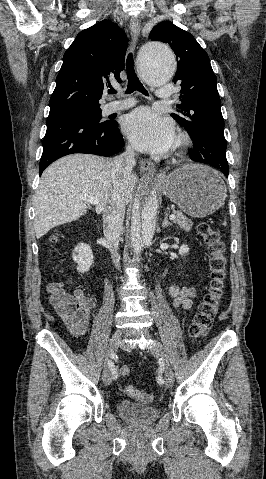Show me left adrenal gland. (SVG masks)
Returning <instances> with one entry per match:
<instances>
[{
  "mask_svg": "<svg viewBox=\"0 0 266 479\" xmlns=\"http://www.w3.org/2000/svg\"><path fill=\"white\" fill-rule=\"evenodd\" d=\"M168 226H172V223L169 222V220H168V214L166 213L165 218H164V220H163V222H162V228H165V227H168Z\"/></svg>",
  "mask_w": 266,
  "mask_h": 479,
  "instance_id": "obj_1",
  "label": "left adrenal gland"
}]
</instances>
